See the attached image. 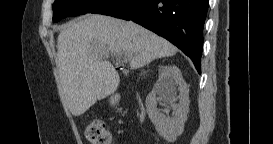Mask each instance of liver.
I'll use <instances>...</instances> for the list:
<instances>
[{"label": "liver", "mask_w": 273, "mask_h": 144, "mask_svg": "<svg viewBox=\"0 0 273 144\" xmlns=\"http://www.w3.org/2000/svg\"><path fill=\"white\" fill-rule=\"evenodd\" d=\"M128 53L132 69L174 55L177 48L166 39L131 22L89 14L72 21L57 39V67L61 87L74 116L85 113L97 100L113 94L119 74L109 54Z\"/></svg>", "instance_id": "liver-1"}]
</instances>
